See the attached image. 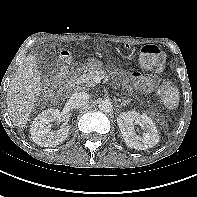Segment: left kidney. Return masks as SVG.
<instances>
[{"label":"left kidney","mask_w":197,"mask_h":197,"mask_svg":"<svg viewBox=\"0 0 197 197\" xmlns=\"http://www.w3.org/2000/svg\"><path fill=\"white\" fill-rule=\"evenodd\" d=\"M117 123L125 143L134 149L146 150L159 142V134L152 119L145 113L137 111L122 112L117 117ZM139 124L144 132L137 135L134 125Z\"/></svg>","instance_id":"left-kidney-1"}]
</instances>
